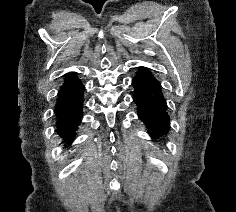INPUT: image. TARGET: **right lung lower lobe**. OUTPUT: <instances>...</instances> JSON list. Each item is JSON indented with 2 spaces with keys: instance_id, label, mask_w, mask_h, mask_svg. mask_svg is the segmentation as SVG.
Instances as JSON below:
<instances>
[{
  "instance_id": "right-lung-lower-lobe-1",
  "label": "right lung lower lobe",
  "mask_w": 236,
  "mask_h": 212,
  "mask_svg": "<svg viewBox=\"0 0 236 212\" xmlns=\"http://www.w3.org/2000/svg\"><path fill=\"white\" fill-rule=\"evenodd\" d=\"M84 90L77 73L64 75L54 109L57 134L63 138V143L70 144L76 135L82 119Z\"/></svg>"
}]
</instances>
